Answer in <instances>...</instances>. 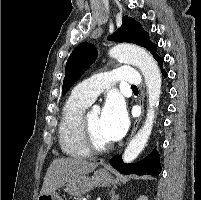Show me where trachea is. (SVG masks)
I'll return each mask as SVG.
<instances>
[{
	"label": "trachea",
	"mask_w": 201,
	"mask_h": 200,
	"mask_svg": "<svg viewBox=\"0 0 201 200\" xmlns=\"http://www.w3.org/2000/svg\"><path fill=\"white\" fill-rule=\"evenodd\" d=\"M131 87L132 89H138L135 85H132Z\"/></svg>",
	"instance_id": "obj_1"
}]
</instances>
